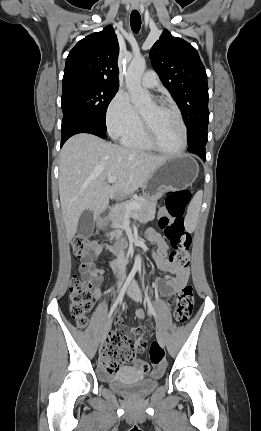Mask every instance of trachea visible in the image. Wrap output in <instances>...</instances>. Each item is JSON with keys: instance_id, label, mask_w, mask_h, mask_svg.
<instances>
[{"instance_id": "trachea-1", "label": "trachea", "mask_w": 261, "mask_h": 431, "mask_svg": "<svg viewBox=\"0 0 261 431\" xmlns=\"http://www.w3.org/2000/svg\"><path fill=\"white\" fill-rule=\"evenodd\" d=\"M130 25L134 33H138L141 28V16L137 10H133L130 15Z\"/></svg>"}]
</instances>
